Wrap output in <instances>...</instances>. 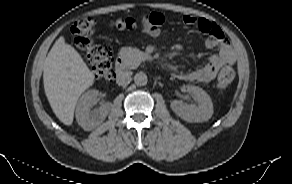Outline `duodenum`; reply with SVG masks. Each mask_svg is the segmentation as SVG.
<instances>
[{
    "label": "duodenum",
    "instance_id": "duodenum-1",
    "mask_svg": "<svg viewBox=\"0 0 292 184\" xmlns=\"http://www.w3.org/2000/svg\"><path fill=\"white\" fill-rule=\"evenodd\" d=\"M115 68H116L117 75L119 77L123 76V74H124V62L120 57L116 58Z\"/></svg>",
    "mask_w": 292,
    "mask_h": 184
}]
</instances>
